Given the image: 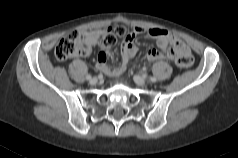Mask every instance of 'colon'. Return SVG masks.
Returning a JSON list of instances; mask_svg holds the SVG:
<instances>
[{
    "instance_id": "colon-1",
    "label": "colon",
    "mask_w": 238,
    "mask_h": 158,
    "mask_svg": "<svg viewBox=\"0 0 238 158\" xmlns=\"http://www.w3.org/2000/svg\"><path fill=\"white\" fill-rule=\"evenodd\" d=\"M123 27H114L102 29L97 32L98 42L103 46H111L116 42V39L124 35ZM55 57L60 60H67L69 58L84 55L86 53V43L84 36L78 32L73 31L65 35L55 47ZM192 57L177 56L175 63L180 69H187L192 65Z\"/></svg>"
}]
</instances>
